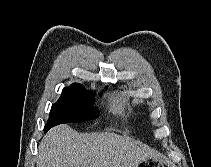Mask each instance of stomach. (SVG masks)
I'll list each match as a JSON object with an SVG mask.
<instances>
[{"label":"stomach","instance_id":"0dacf381","mask_svg":"<svg viewBox=\"0 0 211 167\" xmlns=\"http://www.w3.org/2000/svg\"><path fill=\"white\" fill-rule=\"evenodd\" d=\"M135 167H164V164L157 157H149L139 162Z\"/></svg>","mask_w":211,"mask_h":167}]
</instances>
